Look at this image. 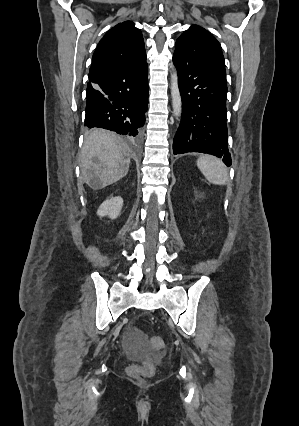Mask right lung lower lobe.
I'll use <instances>...</instances> for the list:
<instances>
[{
	"instance_id": "obj_1",
	"label": "right lung lower lobe",
	"mask_w": 299,
	"mask_h": 426,
	"mask_svg": "<svg viewBox=\"0 0 299 426\" xmlns=\"http://www.w3.org/2000/svg\"><path fill=\"white\" fill-rule=\"evenodd\" d=\"M85 125L137 139L148 104L147 63L89 76Z\"/></svg>"
}]
</instances>
